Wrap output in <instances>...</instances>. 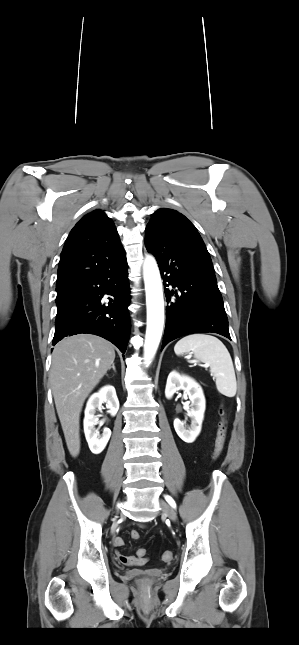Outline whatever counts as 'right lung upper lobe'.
<instances>
[{
  "label": "right lung upper lobe",
  "instance_id": "cb5924a9",
  "mask_svg": "<svg viewBox=\"0 0 299 645\" xmlns=\"http://www.w3.org/2000/svg\"><path fill=\"white\" fill-rule=\"evenodd\" d=\"M125 258L113 221L101 210L82 217L61 252L56 291L71 289L83 279Z\"/></svg>",
  "mask_w": 299,
  "mask_h": 645
}]
</instances>
